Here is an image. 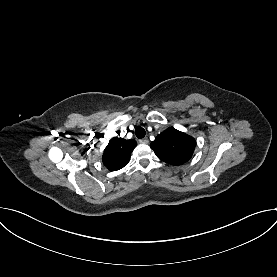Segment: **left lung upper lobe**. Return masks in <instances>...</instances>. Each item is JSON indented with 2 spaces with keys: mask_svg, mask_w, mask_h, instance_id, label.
I'll return each instance as SVG.
<instances>
[{
  "mask_svg": "<svg viewBox=\"0 0 277 277\" xmlns=\"http://www.w3.org/2000/svg\"><path fill=\"white\" fill-rule=\"evenodd\" d=\"M196 146L195 139L173 127L160 133L150 147L156 156L169 164L181 165L192 156Z\"/></svg>",
  "mask_w": 277,
  "mask_h": 277,
  "instance_id": "obj_1",
  "label": "left lung upper lobe"
}]
</instances>
